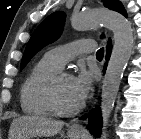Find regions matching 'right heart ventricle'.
<instances>
[{"instance_id": "1", "label": "right heart ventricle", "mask_w": 141, "mask_h": 139, "mask_svg": "<svg viewBox=\"0 0 141 139\" xmlns=\"http://www.w3.org/2000/svg\"><path fill=\"white\" fill-rule=\"evenodd\" d=\"M58 71L60 68L45 57L33 66L20 91V105L24 113L35 117L51 115L44 100V88L47 81Z\"/></svg>"}]
</instances>
